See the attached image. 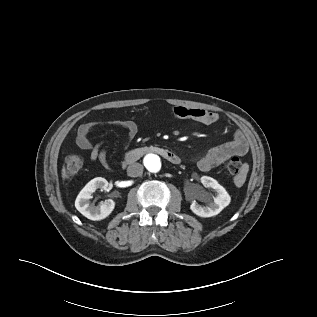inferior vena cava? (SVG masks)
I'll return each instance as SVG.
<instances>
[{
  "instance_id": "inferior-vena-cava-1",
  "label": "inferior vena cava",
  "mask_w": 317,
  "mask_h": 317,
  "mask_svg": "<svg viewBox=\"0 0 317 317\" xmlns=\"http://www.w3.org/2000/svg\"><path fill=\"white\" fill-rule=\"evenodd\" d=\"M143 174V165L140 163H133L127 168V175L130 177H137Z\"/></svg>"
}]
</instances>
